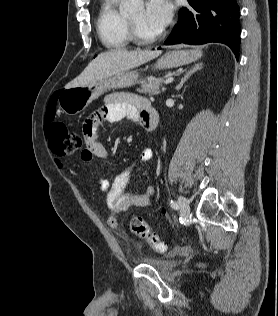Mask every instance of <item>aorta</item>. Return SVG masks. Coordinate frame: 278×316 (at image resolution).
Instances as JSON below:
<instances>
[{
    "label": "aorta",
    "mask_w": 278,
    "mask_h": 316,
    "mask_svg": "<svg viewBox=\"0 0 278 316\" xmlns=\"http://www.w3.org/2000/svg\"><path fill=\"white\" fill-rule=\"evenodd\" d=\"M143 7V0H127L125 5L121 8L123 14H132Z\"/></svg>",
    "instance_id": "aorta-1"
}]
</instances>
